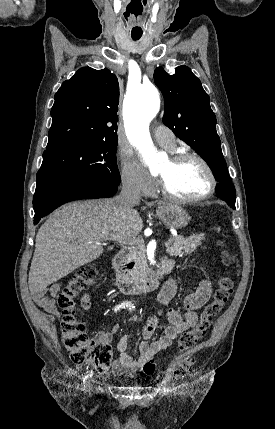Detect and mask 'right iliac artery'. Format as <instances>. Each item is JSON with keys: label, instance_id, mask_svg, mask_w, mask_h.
Masks as SVG:
<instances>
[{"label": "right iliac artery", "instance_id": "82829eb1", "mask_svg": "<svg viewBox=\"0 0 275 429\" xmlns=\"http://www.w3.org/2000/svg\"><path fill=\"white\" fill-rule=\"evenodd\" d=\"M120 307H121V305H120V306H118L115 310H118Z\"/></svg>", "mask_w": 275, "mask_h": 429}]
</instances>
